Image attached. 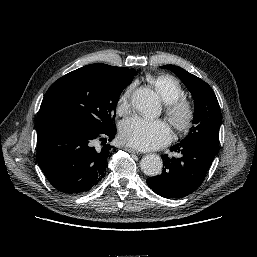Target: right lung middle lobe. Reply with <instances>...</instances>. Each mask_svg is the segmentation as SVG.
<instances>
[{
    "instance_id": "right-lung-middle-lobe-1",
    "label": "right lung middle lobe",
    "mask_w": 257,
    "mask_h": 257,
    "mask_svg": "<svg viewBox=\"0 0 257 257\" xmlns=\"http://www.w3.org/2000/svg\"><path fill=\"white\" fill-rule=\"evenodd\" d=\"M135 75V69L108 68L100 63L64 75L46 92L37 127L73 122L98 131L111 128L119 97Z\"/></svg>"
}]
</instances>
